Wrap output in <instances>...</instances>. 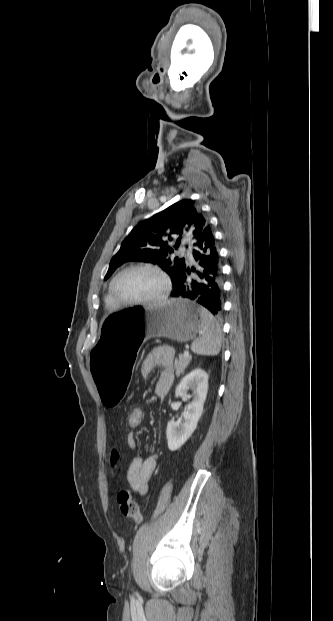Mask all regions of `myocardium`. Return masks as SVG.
Returning a JSON list of instances; mask_svg holds the SVG:
<instances>
[{"label": "myocardium", "mask_w": 333, "mask_h": 621, "mask_svg": "<svg viewBox=\"0 0 333 621\" xmlns=\"http://www.w3.org/2000/svg\"><path fill=\"white\" fill-rule=\"evenodd\" d=\"M135 270H148L156 273L163 281L164 289L162 293L151 299H141V300H123L121 299L116 292V283L117 281L126 273ZM172 284L168 274L158 265L150 264V263H137L134 265H130L123 270H121L111 281L109 286L110 294L118 306H137V305H154L159 304L165 301L170 292H171Z\"/></svg>", "instance_id": "myocardium-1"}]
</instances>
